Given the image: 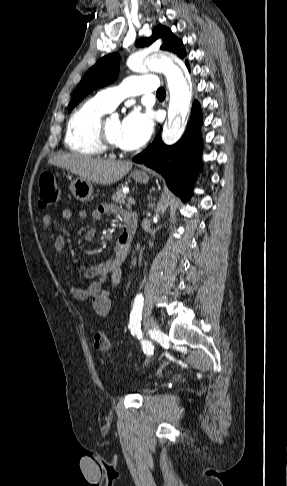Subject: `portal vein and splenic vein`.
Returning <instances> with one entry per match:
<instances>
[{"label":"portal vein and splenic vein","instance_id":"obj_1","mask_svg":"<svg viewBox=\"0 0 287 486\" xmlns=\"http://www.w3.org/2000/svg\"><path fill=\"white\" fill-rule=\"evenodd\" d=\"M127 204L128 205H134L135 204V199L133 197H128L127 198Z\"/></svg>","mask_w":287,"mask_h":486}]
</instances>
